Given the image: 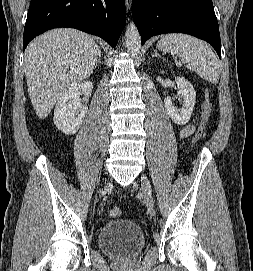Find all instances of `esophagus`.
I'll list each match as a JSON object with an SVG mask.
<instances>
[{"label":"esophagus","instance_id":"esophagus-1","mask_svg":"<svg viewBox=\"0 0 253 271\" xmlns=\"http://www.w3.org/2000/svg\"><path fill=\"white\" fill-rule=\"evenodd\" d=\"M131 3H132V0H125V5H126L127 12H129L130 9H131Z\"/></svg>","mask_w":253,"mask_h":271}]
</instances>
